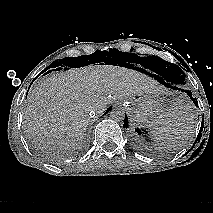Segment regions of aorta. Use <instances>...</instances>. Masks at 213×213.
<instances>
[{"instance_id":"aorta-1","label":"aorta","mask_w":213,"mask_h":213,"mask_svg":"<svg viewBox=\"0 0 213 213\" xmlns=\"http://www.w3.org/2000/svg\"><path fill=\"white\" fill-rule=\"evenodd\" d=\"M110 117L116 122H123L125 120V112L121 108H115L110 112Z\"/></svg>"}]
</instances>
